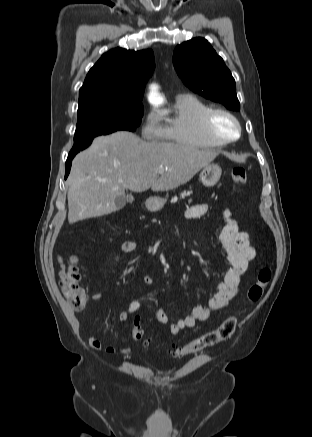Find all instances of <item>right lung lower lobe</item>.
I'll return each instance as SVG.
<instances>
[{
    "mask_svg": "<svg viewBox=\"0 0 312 437\" xmlns=\"http://www.w3.org/2000/svg\"><path fill=\"white\" fill-rule=\"evenodd\" d=\"M76 154L73 155H69L67 160H66V173H65V179L67 178L69 172H70V168H71V163H72V159L74 158Z\"/></svg>",
    "mask_w": 312,
    "mask_h": 437,
    "instance_id": "1",
    "label": "right lung lower lobe"
}]
</instances>
